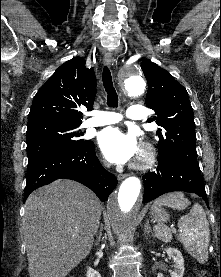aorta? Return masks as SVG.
Returning <instances> with one entry per match:
<instances>
[{"label":"aorta","mask_w":221,"mask_h":277,"mask_svg":"<svg viewBox=\"0 0 221 277\" xmlns=\"http://www.w3.org/2000/svg\"><path fill=\"white\" fill-rule=\"evenodd\" d=\"M123 92L128 96L144 93L146 82L142 72L136 67H128L120 74ZM141 182L138 177L126 178L119 189L114 191L107 201V211L114 232L121 239L131 238L137 211L140 206Z\"/></svg>","instance_id":"obj_1"}]
</instances>
